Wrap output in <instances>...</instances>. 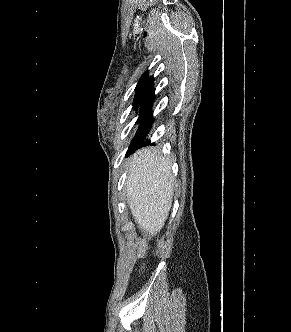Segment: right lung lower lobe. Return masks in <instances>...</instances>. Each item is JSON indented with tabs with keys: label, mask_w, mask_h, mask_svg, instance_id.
Here are the masks:
<instances>
[{
	"label": "right lung lower lobe",
	"mask_w": 291,
	"mask_h": 332,
	"mask_svg": "<svg viewBox=\"0 0 291 332\" xmlns=\"http://www.w3.org/2000/svg\"><path fill=\"white\" fill-rule=\"evenodd\" d=\"M154 99L155 95L152 94L141 105L140 117L138 119V122H140V126L129 146L128 153L135 150L139 145L143 144V141L152 126L154 118L151 112V107Z\"/></svg>",
	"instance_id": "right-lung-lower-lobe-1"
}]
</instances>
